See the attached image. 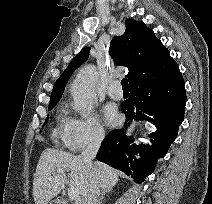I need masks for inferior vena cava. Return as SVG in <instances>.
Returning <instances> with one entry per match:
<instances>
[{"mask_svg": "<svg viewBox=\"0 0 212 204\" xmlns=\"http://www.w3.org/2000/svg\"><path fill=\"white\" fill-rule=\"evenodd\" d=\"M103 139H104L103 131L95 132L91 137L89 144L81 154L82 159L90 168L93 167V159L95 158ZM99 195H100L99 185L95 182L93 178H90L87 189L82 197V204H98Z\"/></svg>", "mask_w": 212, "mask_h": 204, "instance_id": "1", "label": "inferior vena cava"}]
</instances>
